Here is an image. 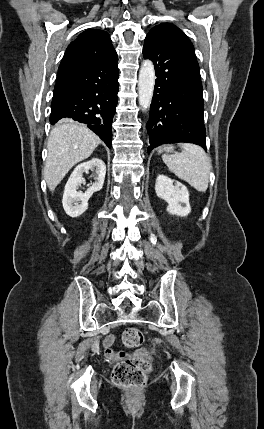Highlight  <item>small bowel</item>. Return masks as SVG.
Listing matches in <instances>:
<instances>
[{"label":"small bowel","mask_w":264,"mask_h":429,"mask_svg":"<svg viewBox=\"0 0 264 429\" xmlns=\"http://www.w3.org/2000/svg\"><path fill=\"white\" fill-rule=\"evenodd\" d=\"M115 336L114 335H109V336H107L106 338H105V340H104V343H103V345H104V349H105V353H106V356L109 358V359H117V358H119V357H123L124 355H126V354H124V353H118V352H116L114 349H113V344H114V342H115ZM137 354H142L143 355V353L142 352H138Z\"/></svg>","instance_id":"obj_1"}]
</instances>
